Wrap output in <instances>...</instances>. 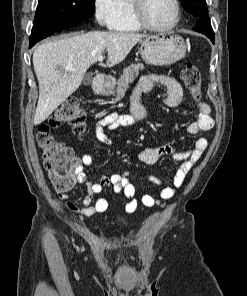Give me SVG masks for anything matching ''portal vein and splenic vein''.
I'll return each instance as SVG.
<instances>
[{"label": "portal vein and splenic vein", "mask_w": 247, "mask_h": 296, "mask_svg": "<svg viewBox=\"0 0 247 296\" xmlns=\"http://www.w3.org/2000/svg\"><path fill=\"white\" fill-rule=\"evenodd\" d=\"M104 57L102 55L98 56V61L103 62Z\"/></svg>", "instance_id": "18ae733b"}]
</instances>
